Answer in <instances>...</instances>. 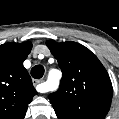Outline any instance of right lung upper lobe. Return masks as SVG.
<instances>
[{
	"mask_svg": "<svg viewBox=\"0 0 119 119\" xmlns=\"http://www.w3.org/2000/svg\"><path fill=\"white\" fill-rule=\"evenodd\" d=\"M31 49L28 41L0 45V119H23L37 94L23 66Z\"/></svg>",
	"mask_w": 119,
	"mask_h": 119,
	"instance_id": "obj_1",
	"label": "right lung upper lobe"
}]
</instances>
